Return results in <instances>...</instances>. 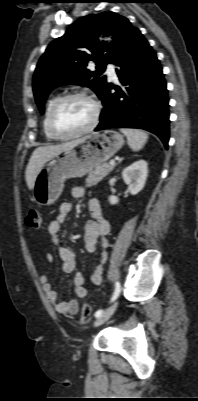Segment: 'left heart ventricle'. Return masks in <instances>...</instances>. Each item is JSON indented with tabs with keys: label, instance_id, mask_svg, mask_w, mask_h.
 <instances>
[{
	"label": "left heart ventricle",
	"instance_id": "b2bd125f",
	"mask_svg": "<svg viewBox=\"0 0 198 401\" xmlns=\"http://www.w3.org/2000/svg\"><path fill=\"white\" fill-rule=\"evenodd\" d=\"M94 115L93 105L81 98L62 103L53 117V125L61 134H71L83 130L91 123Z\"/></svg>",
	"mask_w": 198,
	"mask_h": 401
}]
</instances>
